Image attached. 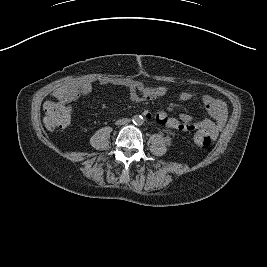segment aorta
<instances>
[{
    "instance_id": "762f6f07",
    "label": "aorta",
    "mask_w": 267,
    "mask_h": 267,
    "mask_svg": "<svg viewBox=\"0 0 267 267\" xmlns=\"http://www.w3.org/2000/svg\"><path fill=\"white\" fill-rule=\"evenodd\" d=\"M134 121H135V123L139 124V123L142 122V118H140V117H136V118L134 119Z\"/></svg>"
}]
</instances>
